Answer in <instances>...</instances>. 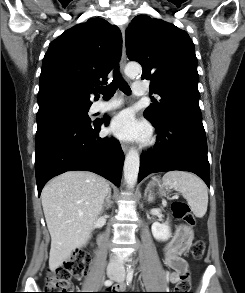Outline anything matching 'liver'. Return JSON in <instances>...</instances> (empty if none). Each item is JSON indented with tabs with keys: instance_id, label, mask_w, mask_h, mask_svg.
Instances as JSON below:
<instances>
[{
	"instance_id": "1",
	"label": "liver",
	"mask_w": 245,
	"mask_h": 293,
	"mask_svg": "<svg viewBox=\"0 0 245 293\" xmlns=\"http://www.w3.org/2000/svg\"><path fill=\"white\" fill-rule=\"evenodd\" d=\"M109 190L104 178L87 171L65 172L45 185L41 199L51 236V271L87 244Z\"/></svg>"
}]
</instances>
